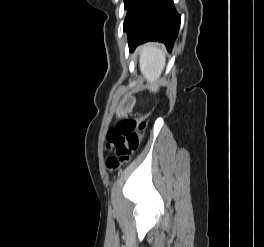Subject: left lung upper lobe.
<instances>
[{"label": "left lung upper lobe", "mask_w": 264, "mask_h": 247, "mask_svg": "<svg viewBox=\"0 0 264 247\" xmlns=\"http://www.w3.org/2000/svg\"><path fill=\"white\" fill-rule=\"evenodd\" d=\"M146 0H124V8L127 9V14L124 21V28L130 23L133 17L140 10Z\"/></svg>", "instance_id": "obj_1"}]
</instances>
